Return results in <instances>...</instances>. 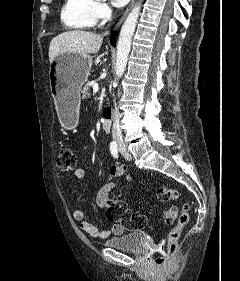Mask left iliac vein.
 Segmentation results:
<instances>
[{"mask_svg":"<svg viewBox=\"0 0 240 281\" xmlns=\"http://www.w3.org/2000/svg\"><path fill=\"white\" fill-rule=\"evenodd\" d=\"M121 153L127 161H130L132 159L131 154L126 149H121Z\"/></svg>","mask_w":240,"mask_h":281,"instance_id":"4c4485c4","label":"left iliac vein"}]
</instances>
